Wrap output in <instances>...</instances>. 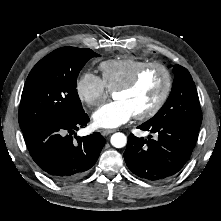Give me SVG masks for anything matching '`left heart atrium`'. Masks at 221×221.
I'll use <instances>...</instances> for the list:
<instances>
[{
	"mask_svg": "<svg viewBox=\"0 0 221 221\" xmlns=\"http://www.w3.org/2000/svg\"><path fill=\"white\" fill-rule=\"evenodd\" d=\"M134 115L125 101L116 99L97 109L93 114V122L98 128H116L126 123Z\"/></svg>",
	"mask_w": 221,
	"mask_h": 221,
	"instance_id": "39dd6f15",
	"label": "left heart atrium"
}]
</instances>
